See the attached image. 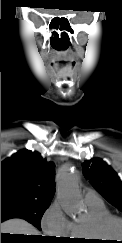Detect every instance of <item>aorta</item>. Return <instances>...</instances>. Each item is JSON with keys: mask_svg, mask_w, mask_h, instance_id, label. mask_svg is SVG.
<instances>
[{"mask_svg": "<svg viewBox=\"0 0 122 243\" xmlns=\"http://www.w3.org/2000/svg\"><path fill=\"white\" fill-rule=\"evenodd\" d=\"M57 197L67 215L78 217L82 212V201L78 189V176L70 166L62 167L56 175Z\"/></svg>", "mask_w": 122, "mask_h": 243, "instance_id": "obj_1", "label": "aorta"}]
</instances>
